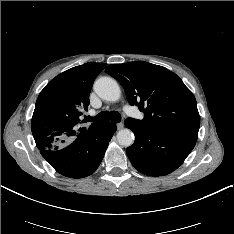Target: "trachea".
I'll return each instance as SVG.
<instances>
[{
    "instance_id": "3493384b",
    "label": "trachea",
    "mask_w": 234,
    "mask_h": 234,
    "mask_svg": "<svg viewBox=\"0 0 234 234\" xmlns=\"http://www.w3.org/2000/svg\"><path fill=\"white\" fill-rule=\"evenodd\" d=\"M87 121L90 122H105V121H113L115 123H118L121 121V114L118 113L117 111H112V112H108V111H103L100 112L99 114H97L95 117H86Z\"/></svg>"
}]
</instances>
